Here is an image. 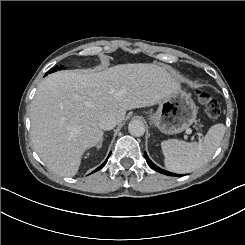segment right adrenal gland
Instances as JSON below:
<instances>
[{"mask_svg": "<svg viewBox=\"0 0 245 245\" xmlns=\"http://www.w3.org/2000/svg\"><path fill=\"white\" fill-rule=\"evenodd\" d=\"M102 144H103V137L100 139L99 143L96 144L95 148L100 149L102 147Z\"/></svg>", "mask_w": 245, "mask_h": 245, "instance_id": "obj_1", "label": "right adrenal gland"}]
</instances>
